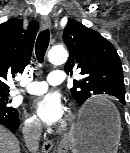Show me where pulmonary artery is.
I'll list each match as a JSON object with an SVG mask.
<instances>
[{
    "label": "pulmonary artery",
    "instance_id": "e3ab8cb5",
    "mask_svg": "<svg viewBox=\"0 0 130 153\" xmlns=\"http://www.w3.org/2000/svg\"><path fill=\"white\" fill-rule=\"evenodd\" d=\"M64 81V74L61 71H55L49 73L47 77V82L45 81H33L30 82L24 89L21 91L27 92L30 94H41L45 92L50 85H59Z\"/></svg>",
    "mask_w": 130,
    "mask_h": 153
}]
</instances>
